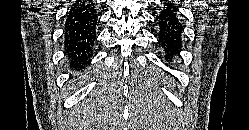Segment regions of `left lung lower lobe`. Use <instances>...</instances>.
I'll return each instance as SVG.
<instances>
[{
  "label": "left lung lower lobe",
  "instance_id": "obj_1",
  "mask_svg": "<svg viewBox=\"0 0 249 130\" xmlns=\"http://www.w3.org/2000/svg\"><path fill=\"white\" fill-rule=\"evenodd\" d=\"M160 13L156 16L160 28L159 40L162 42L166 59H171L182 47V25L177 14V8L172 3L160 6Z\"/></svg>",
  "mask_w": 249,
  "mask_h": 130
}]
</instances>
